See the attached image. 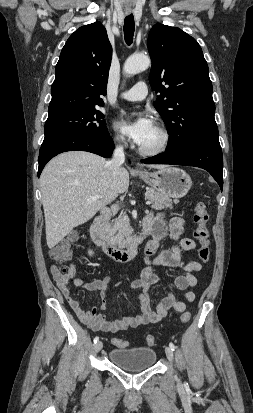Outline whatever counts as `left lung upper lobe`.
Returning <instances> with one entry per match:
<instances>
[{"label": "left lung upper lobe", "mask_w": 253, "mask_h": 413, "mask_svg": "<svg viewBox=\"0 0 253 413\" xmlns=\"http://www.w3.org/2000/svg\"><path fill=\"white\" fill-rule=\"evenodd\" d=\"M148 51L149 82L160 93L154 106L170 135L167 150L219 143L209 68L198 42L179 28L157 23L149 32Z\"/></svg>", "instance_id": "obj_1"}]
</instances>
